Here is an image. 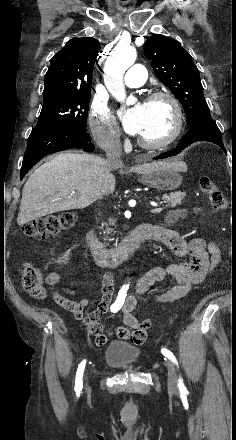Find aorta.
Returning a JSON list of instances; mask_svg holds the SVG:
<instances>
[{
    "instance_id": "obj_1",
    "label": "aorta",
    "mask_w": 236,
    "mask_h": 440,
    "mask_svg": "<svg viewBox=\"0 0 236 440\" xmlns=\"http://www.w3.org/2000/svg\"><path fill=\"white\" fill-rule=\"evenodd\" d=\"M136 57L137 53L133 47L117 46L106 60L104 67L105 85L120 103L133 100V98H126L123 76L125 71L134 64Z\"/></svg>"
}]
</instances>
